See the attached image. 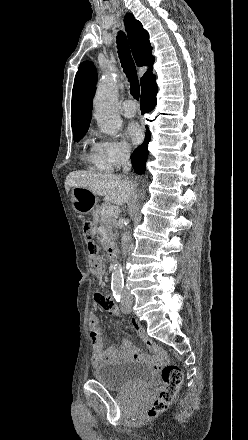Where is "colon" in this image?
<instances>
[{"instance_id":"obj_1","label":"colon","mask_w":248,"mask_h":440,"mask_svg":"<svg viewBox=\"0 0 248 440\" xmlns=\"http://www.w3.org/2000/svg\"><path fill=\"white\" fill-rule=\"evenodd\" d=\"M84 232L89 240V265L93 273L100 274L102 270V264L98 256V248L91 241V222L85 221ZM163 386L157 399L154 401L153 405L148 411L149 416L154 417L163 411H165L168 406L173 401L178 389L180 388L183 381V371L182 369L174 364H167L163 367L162 372Z\"/></svg>"}]
</instances>
